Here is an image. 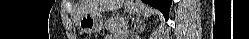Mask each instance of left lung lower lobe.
<instances>
[{
  "label": "left lung lower lobe",
  "instance_id": "0a47b994",
  "mask_svg": "<svg viewBox=\"0 0 249 39\" xmlns=\"http://www.w3.org/2000/svg\"><path fill=\"white\" fill-rule=\"evenodd\" d=\"M145 3L152 5L153 7L158 8L164 16L168 19V14L172 0H143Z\"/></svg>",
  "mask_w": 249,
  "mask_h": 39
}]
</instances>
